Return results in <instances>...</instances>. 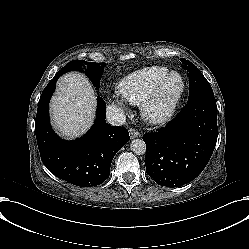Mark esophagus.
<instances>
[{"instance_id":"34e87169","label":"esophagus","mask_w":249,"mask_h":249,"mask_svg":"<svg viewBox=\"0 0 249 249\" xmlns=\"http://www.w3.org/2000/svg\"><path fill=\"white\" fill-rule=\"evenodd\" d=\"M129 134L131 139H134L140 135L139 132L133 128L129 130Z\"/></svg>"}]
</instances>
